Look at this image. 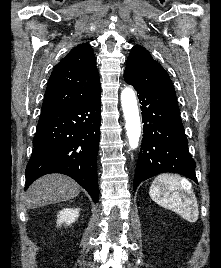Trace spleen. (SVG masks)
Here are the masks:
<instances>
[{"label": "spleen", "instance_id": "spleen-1", "mask_svg": "<svg viewBox=\"0 0 221 268\" xmlns=\"http://www.w3.org/2000/svg\"><path fill=\"white\" fill-rule=\"evenodd\" d=\"M149 195L158 205L177 213L189 222L198 219V204L192 184L179 175H158L150 187Z\"/></svg>", "mask_w": 221, "mask_h": 268}]
</instances>
